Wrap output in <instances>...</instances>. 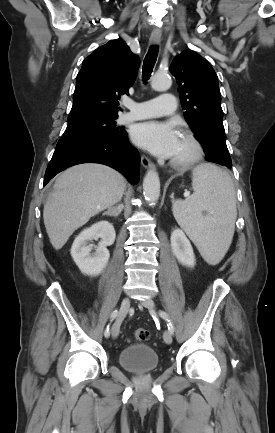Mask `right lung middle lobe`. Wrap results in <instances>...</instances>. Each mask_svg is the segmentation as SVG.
Segmentation results:
<instances>
[{
    "mask_svg": "<svg viewBox=\"0 0 275 433\" xmlns=\"http://www.w3.org/2000/svg\"><path fill=\"white\" fill-rule=\"evenodd\" d=\"M118 116L85 115L68 118L67 128L59 142L64 140H108L125 134L116 127Z\"/></svg>",
    "mask_w": 275,
    "mask_h": 433,
    "instance_id": "right-lung-middle-lobe-1",
    "label": "right lung middle lobe"
}]
</instances>
